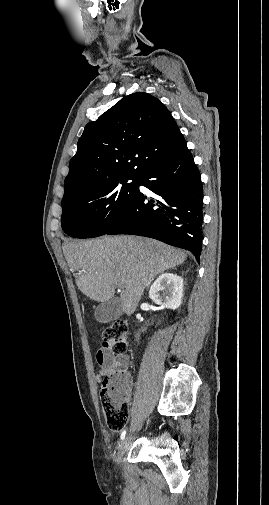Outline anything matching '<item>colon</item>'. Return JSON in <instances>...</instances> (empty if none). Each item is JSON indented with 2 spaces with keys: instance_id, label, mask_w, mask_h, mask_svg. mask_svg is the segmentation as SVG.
I'll return each instance as SVG.
<instances>
[{
  "instance_id": "colon-1",
  "label": "colon",
  "mask_w": 269,
  "mask_h": 505,
  "mask_svg": "<svg viewBox=\"0 0 269 505\" xmlns=\"http://www.w3.org/2000/svg\"><path fill=\"white\" fill-rule=\"evenodd\" d=\"M103 347L116 356L123 355L128 346V326L124 321H115L102 333ZM130 382L121 375L102 380L100 400L108 427L113 431L124 428L128 419V391Z\"/></svg>"
}]
</instances>
